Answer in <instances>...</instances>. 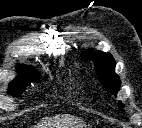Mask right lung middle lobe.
Listing matches in <instances>:
<instances>
[{
	"label": "right lung middle lobe",
	"instance_id": "obj_1",
	"mask_svg": "<svg viewBox=\"0 0 142 128\" xmlns=\"http://www.w3.org/2000/svg\"><path fill=\"white\" fill-rule=\"evenodd\" d=\"M40 77L36 70H29L22 77L16 79L9 84L8 93L19 96L25 90V87L31 82L36 81Z\"/></svg>",
	"mask_w": 142,
	"mask_h": 128
}]
</instances>
